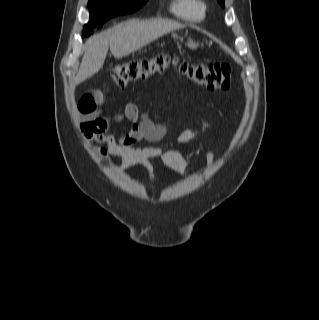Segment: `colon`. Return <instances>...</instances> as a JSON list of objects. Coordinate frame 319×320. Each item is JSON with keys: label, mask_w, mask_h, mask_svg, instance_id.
Returning <instances> with one entry per match:
<instances>
[{"label": "colon", "mask_w": 319, "mask_h": 320, "mask_svg": "<svg viewBox=\"0 0 319 320\" xmlns=\"http://www.w3.org/2000/svg\"><path fill=\"white\" fill-rule=\"evenodd\" d=\"M169 65H177L179 71L190 81L207 89H228L231 84V66L227 62L217 63H191L180 61L170 54H158L150 58H141L116 64L112 69V78L120 88L128 84L149 78L160 73ZM164 134L157 128L144 125L140 130L128 129L125 138L128 143L146 139L159 140Z\"/></svg>", "instance_id": "obj_1"}]
</instances>
